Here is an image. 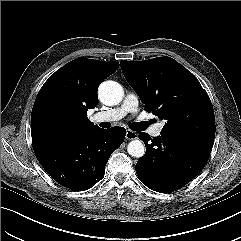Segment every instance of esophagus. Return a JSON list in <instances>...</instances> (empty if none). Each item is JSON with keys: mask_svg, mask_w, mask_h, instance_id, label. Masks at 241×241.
Masks as SVG:
<instances>
[{"mask_svg": "<svg viewBox=\"0 0 241 241\" xmlns=\"http://www.w3.org/2000/svg\"><path fill=\"white\" fill-rule=\"evenodd\" d=\"M138 138V134L132 130H127L126 132V139L134 140Z\"/></svg>", "mask_w": 241, "mask_h": 241, "instance_id": "1", "label": "esophagus"}]
</instances>
